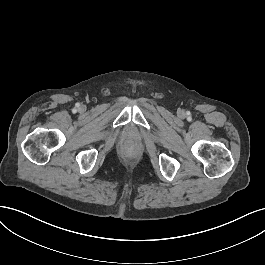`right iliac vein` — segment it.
Masks as SVG:
<instances>
[{
    "instance_id": "right-iliac-vein-1",
    "label": "right iliac vein",
    "mask_w": 265,
    "mask_h": 265,
    "mask_svg": "<svg viewBox=\"0 0 265 265\" xmlns=\"http://www.w3.org/2000/svg\"><path fill=\"white\" fill-rule=\"evenodd\" d=\"M80 109L84 110L85 108L82 106V107H80Z\"/></svg>"
}]
</instances>
